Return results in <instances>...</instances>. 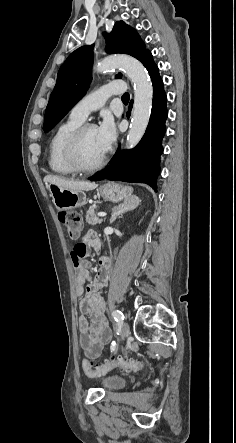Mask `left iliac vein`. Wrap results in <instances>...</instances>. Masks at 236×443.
<instances>
[{
    "label": "left iliac vein",
    "mask_w": 236,
    "mask_h": 443,
    "mask_svg": "<svg viewBox=\"0 0 236 443\" xmlns=\"http://www.w3.org/2000/svg\"><path fill=\"white\" fill-rule=\"evenodd\" d=\"M129 332H130L129 331V325L126 322H124L122 327H121V330H120L121 337L123 339L126 338L129 335Z\"/></svg>",
    "instance_id": "4c4485c4"
}]
</instances>
